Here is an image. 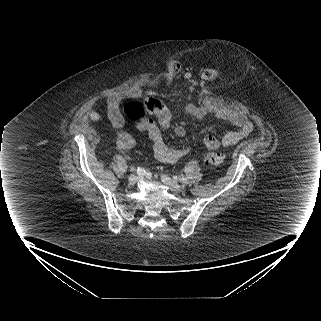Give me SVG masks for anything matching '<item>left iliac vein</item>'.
<instances>
[{
    "label": "left iliac vein",
    "mask_w": 321,
    "mask_h": 321,
    "mask_svg": "<svg viewBox=\"0 0 321 321\" xmlns=\"http://www.w3.org/2000/svg\"><path fill=\"white\" fill-rule=\"evenodd\" d=\"M161 180L163 183L173 192L179 193L182 191V187L174 180H172L167 175L163 174L161 175Z\"/></svg>",
    "instance_id": "1"
}]
</instances>
